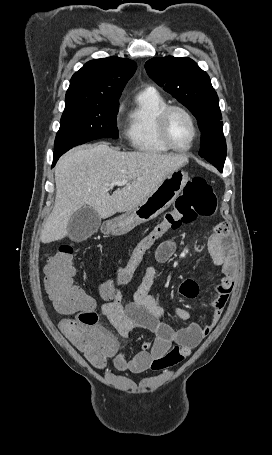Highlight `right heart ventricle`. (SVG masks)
Returning a JSON list of instances; mask_svg holds the SVG:
<instances>
[{
  "instance_id": "e07e8e85",
  "label": "right heart ventricle",
  "mask_w": 272,
  "mask_h": 455,
  "mask_svg": "<svg viewBox=\"0 0 272 455\" xmlns=\"http://www.w3.org/2000/svg\"><path fill=\"white\" fill-rule=\"evenodd\" d=\"M166 105L164 97L153 88H145L136 95L127 115L125 130L134 150L148 154L170 150L160 139L157 129V116Z\"/></svg>"
}]
</instances>
